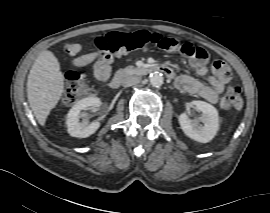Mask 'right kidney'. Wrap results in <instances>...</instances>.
<instances>
[{"label": "right kidney", "mask_w": 270, "mask_h": 213, "mask_svg": "<svg viewBox=\"0 0 270 213\" xmlns=\"http://www.w3.org/2000/svg\"><path fill=\"white\" fill-rule=\"evenodd\" d=\"M101 100L98 97H88L78 101L67 114V131L72 137L86 138L94 134L100 127V122H79L84 111L90 108H99Z\"/></svg>", "instance_id": "ca27d5eb"}]
</instances>
